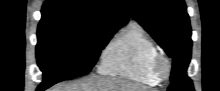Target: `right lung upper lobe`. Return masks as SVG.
I'll use <instances>...</instances> for the list:
<instances>
[{
  "label": "right lung upper lobe",
  "mask_w": 220,
  "mask_h": 91,
  "mask_svg": "<svg viewBox=\"0 0 220 91\" xmlns=\"http://www.w3.org/2000/svg\"><path fill=\"white\" fill-rule=\"evenodd\" d=\"M39 25L80 24L95 28H121L128 15L119 0H46Z\"/></svg>",
  "instance_id": "right-lung-upper-lobe-1"
}]
</instances>
